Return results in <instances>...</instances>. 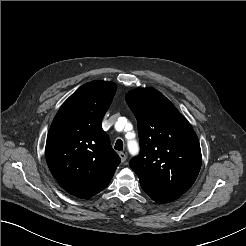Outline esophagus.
<instances>
[{"instance_id":"obj_1","label":"esophagus","mask_w":246,"mask_h":246,"mask_svg":"<svg viewBox=\"0 0 246 246\" xmlns=\"http://www.w3.org/2000/svg\"><path fill=\"white\" fill-rule=\"evenodd\" d=\"M118 155H119V157L121 159V162L122 163L125 162V160H126V154L124 152H119Z\"/></svg>"}]
</instances>
